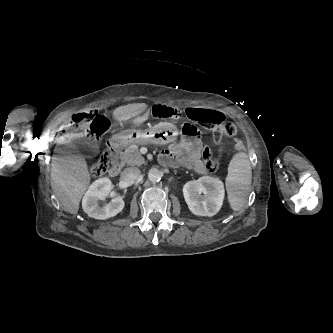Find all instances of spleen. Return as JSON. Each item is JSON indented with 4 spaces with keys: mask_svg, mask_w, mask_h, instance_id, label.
<instances>
[{
    "mask_svg": "<svg viewBox=\"0 0 333 333\" xmlns=\"http://www.w3.org/2000/svg\"><path fill=\"white\" fill-rule=\"evenodd\" d=\"M252 180L251 164L247 153L240 152L233 156L228 166L226 177V190L231 208L240 210L250 193Z\"/></svg>",
    "mask_w": 333,
    "mask_h": 333,
    "instance_id": "spleen-1",
    "label": "spleen"
}]
</instances>
